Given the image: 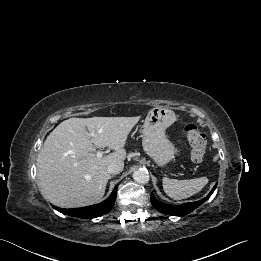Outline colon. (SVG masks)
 <instances>
[{"label": "colon", "mask_w": 261, "mask_h": 261, "mask_svg": "<svg viewBox=\"0 0 261 261\" xmlns=\"http://www.w3.org/2000/svg\"><path fill=\"white\" fill-rule=\"evenodd\" d=\"M185 133L187 140L190 144V157L195 163H200L203 161L206 153V138L203 133H201L197 126L194 124H189L185 127Z\"/></svg>", "instance_id": "obj_1"}]
</instances>
